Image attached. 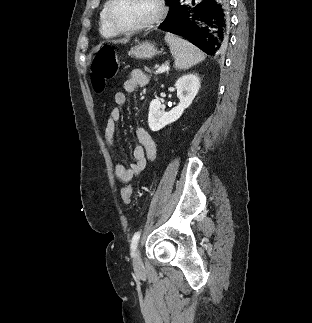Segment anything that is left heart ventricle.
Here are the masks:
<instances>
[{
  "label": "left heart ventricle",
  "instance_id": "left-heart-ventricle-1",
  "mask_svg": "<svg viewBox=\"0 0 312 323\" xmlns=\"http://www.w3.org/2000/svg\"><path fill=\"white\" fill-rule=\"evenodd\" d=\"M148 14H158V2L154 0H115L111 7V18L122 22H142Z\"/></svg>",
  "mask_w": 312,
  "mask_h": 323
}]
</instances>
